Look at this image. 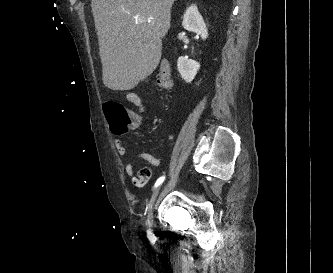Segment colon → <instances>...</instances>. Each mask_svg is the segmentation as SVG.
Wrapping results in <instances>:
<instances>
[{"instance_id": "obj_1", "label": "colon", "mask_w": 333, "mask_h": 273, "mask_svg": "<svg viewBox=\"0 0 333 273\" xmlns=\"http://www.w3.org/2000/svg\"><path fill=\"white\" fill-rule=\"evenodd\" d=\"M157 85L163 89H169L172 86L171 69L168 62H161L157 75ZM104 113L111 129L115 133H123L135 121L132 113L123 105L115 101H108L104 104ZM151 176V170L148 167H143L139 170L136 181L145 184Z\"/></svg>"}]
</instances>
